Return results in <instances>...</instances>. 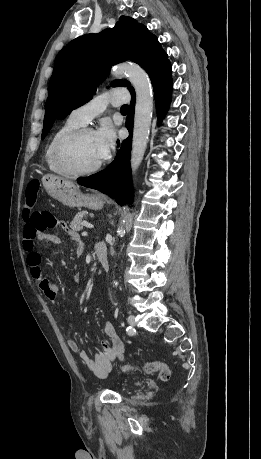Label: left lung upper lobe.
Segmentation results:
<instances>
[{"label":"left lung upper lobe","instance_id":"left-lung-upper-lobe-1","mask_svg":"<svg viewBox=\"0 0 261 459\" xmlns=\"http://www.w3.org/2000/svg\"><path fill=\"white\" fill-rule=\"evenodd\" d=\"M131 60L139 64L150 79L170 62L158 39L135 19L121 16L113 29L74 39L55 59L41 138L44 139L56 119H63L82 106L96 92L112 65ZM112 87L130 82L115 80Z\"/></svg>","mask_w":261,"mask_h":459}]
</instances>
